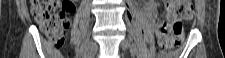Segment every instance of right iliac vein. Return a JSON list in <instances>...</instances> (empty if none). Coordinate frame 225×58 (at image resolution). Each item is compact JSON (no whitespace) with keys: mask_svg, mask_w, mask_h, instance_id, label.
Instances as JSON below:
<instances>
[{"mask_svg":"<svg viewBox=\"0 0 225 58\" xmlns=\"http://www.w3.org/2000/svg\"><path fill=\"white\" fill-rule=\"evenodd\" d=\"M97 51V44L95 42H91L87 47L84 57L85 58H93Z\"/></svg>","mask_w":225,"mask_h":58,"instance_id":"63e3f726","label":"right iliac vein"}]
</instances>
